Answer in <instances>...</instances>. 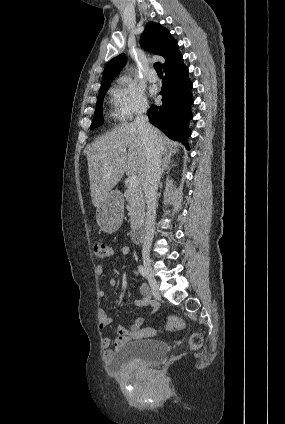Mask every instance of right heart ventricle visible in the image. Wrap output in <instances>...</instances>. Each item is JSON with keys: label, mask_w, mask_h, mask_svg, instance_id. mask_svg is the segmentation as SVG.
I'll list each match as a JSON object with an SVG mask.
<instances>
[{"label": "right heart ventricle", "mask_w": 285, "mask_h": 424, "mask_svg": "<svg viewBox=\"0 0 285 424\" xmlns=\"http://www.w3.org/2000/svg\"><path fill=\"white\" fill-rule=\"evenodd\" d=\"M112 93H113V96H114V89L112 90ZM109 116L111 118L115 119V120H121V117H120L118 110L116 108V105H115V99L114 98L111 99V108L109 110Z\"/></svg>", "instance_id": "e07e8e85"}]
</instances>
